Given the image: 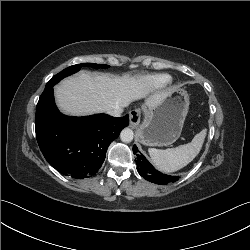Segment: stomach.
Here are the masks:
<instances>
[{
    "label": "stomach",
    "mask_w": 250,
    "mask_h": 250,
    "mask_svg": "<svg viewBox=\"0 0 250 250\" xmlns=\"http://www.w3.org/2000/svg\"><path fill=\"white\" fill-rule=\"evenodd\" d=\"M189 96L183 89H174L158 105L148 108L137 130L140 143L147 146H167L181 134L189 109Z\"/></svg>",
    "instance_id": "obj_1"
}]
</instances>
